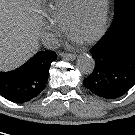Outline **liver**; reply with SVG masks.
I'll return each instance as SVG.
<instances>
[{"mask_svg": "<svg viewBox=\"0 0 135 135\" xmlns=\"http://www.w3.org/2000/svg\"><path fill=\"white\" fill-rule=\"evenodd\" d=\"M40 0H0V71L15 69L39 48Z\"/></svg>", "mask_w": 135, "mask_h": 135, "instance_id": "obj_1", "label": "liver"}]
</instances>
